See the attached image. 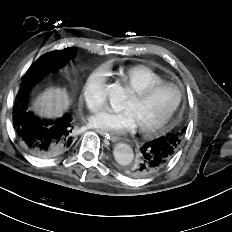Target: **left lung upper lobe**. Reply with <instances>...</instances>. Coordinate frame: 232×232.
<instances>
[{"label": "left lung upper lobe", "instance_id": "obj_1", "mask_svg": "<svg viewBox=\"0 0 232 232\" xmlns=\"http://www.w3.org/2000/svg\"><path fill=\"white\" fill-rule=\"evenodd\" d=\"M183 132H184V129L181 132L180 131H173L171 133H168L164 136L159 137L158 139L160 141L164 142L165 144H167L168 146H170L175 154V152L177 151V149L179 148V145L181 143ZM129 168H130V166L125 167V169H124L125 173L129 170ZM133 175L134 174L131 173L128 176H133Z\"/></svg>", "mask_w": 232, "mask_h": 232}]
</instances>
